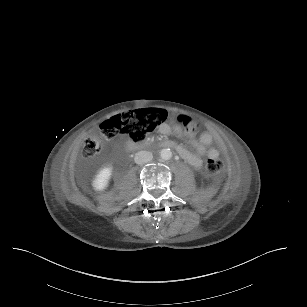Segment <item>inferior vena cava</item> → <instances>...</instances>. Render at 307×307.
<instances>
[{"mask_svg": "<svg viewBox=\"0 0 307 307\" xmlns=\"http://www.w3.org/2000/svg\"><path fill=\"white\" fill-rule=\"evenodd\" d=\"M153 159V155L149 151H139L134 156V161L136 164L142 165L150 162Z\"/></svg>", "mask_w": 307, "mask_h": 307, "instance_id": "1", "label": "inferior vena cava"}]
</instances>
